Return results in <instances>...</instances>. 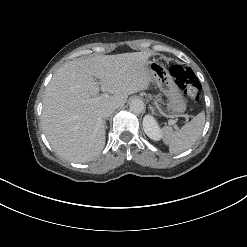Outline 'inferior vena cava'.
Listing matches in <instances>:
<instances>
[{
	"instance_id": "602c4592",
	"label": "inferior vena cava",
	"mask_w": 247,
	"mask_h": 247,
	"mask_svg": "<svg viewBox=\"0 0 247 247\" xmlns=\"http://www.w3.org/2000/svg\"><path fill=\"white\" fill-rule=\"evenodd\" d=\"M116 108H118L116 104H107L103 106L100 111L102 118H108Z\"/></svg>"
}]
</instances>
